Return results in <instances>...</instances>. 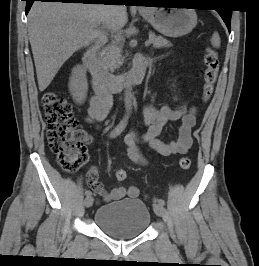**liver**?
I'll list each match as a JSON object with an SVG mask.
<instances>
[{
    "label": "liver",
    "instance_id": "1",
    "mask_svg": "<svg viewBox=\"0 0 259 266\" xmlns=\"http://www.w3.org/2000/svg\"><path fill=\"white\" fill-rule=\"evenodd\" d=\"M126 23L124 5L35 2L28 14V36L39 90L50 85L73 53L106 38L100 25L116 31Z\"/></svg>",
    "mask_w": 259,
    "mask_h": 266
}]
</instances>
